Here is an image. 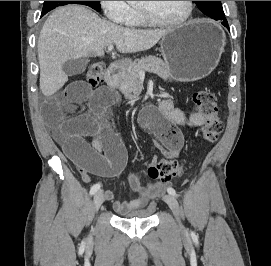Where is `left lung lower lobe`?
Returning a JSON list of instances; mask_svg holds the SVG:
<instances>
[{"label":"left lung lower lobe","instance_id":"obj_1","mask_svg":"<svg viewBox=\"0 0 271 266\" xmlns=\"http://www.w3.org/2000/svg\"><path fill=\"white\" fill-rule=\"evenodd\" d=\"M221 23H222V25H224L226 28L229 29V26H228V23H227L226 19L222 20Z\"/></svg>","mask_w":271,"mask_h":266}]
</instances>
